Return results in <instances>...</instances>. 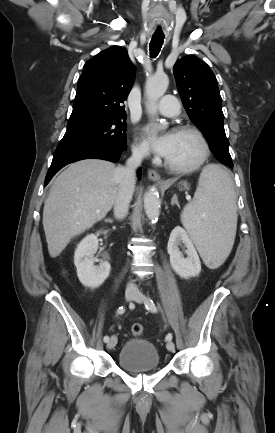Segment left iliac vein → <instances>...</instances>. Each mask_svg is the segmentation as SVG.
<instances>
[{
    "instance_id": "1",
    "label": "left iliac vein",
    "mask_w": 275,
    "mask_h": 433,
    "mask_svg": "<svg viewBox=\"0 0 275 433\" xmlns=\"http://www.w3.org/2000/svg\"><path fill=\"white\" fill-rule=\"evenodd\" d=\"M133 300H134L135 302H137V303H143L144 300H145V296H144L142 293L137 292V293H135V296H134ZM166 348H167L168 351H171V352H172V351H174V349H175V345H174V343L170 340V341H168V342L166 343Z\"/></svg>"
}]
</instances>
